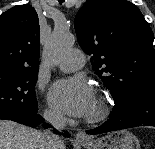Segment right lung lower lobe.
I'll list each match as a JSON object with an SVG mask.
<instances>
[{"label": "right lung lower lobe", "mask_w": 155, "mask_h": 149, "mask_svg": "<svg viewBox=\"0 0 155 149\" xmlns=\"http://www.w3.org/2000/svg\"><path fill=\"white\" fill-rule=\"evenodd\" d=\"M0 119H3V120H12V121H15V122H18V123H22V124H24V125H26V126H37V125H39L41 122L44 121V119H43L40 115H37V113H35V114L32 115L28 120H25V121H16V120H13V119H10V118H7V117H0ZM43 127H44V128H47V127H50V125L44 123V124H43ZM55 133L61 134V133H59V132H57V131H55ZM63 135H64L65 137H69V136H70L68 132L63 133Z\"/></svg>", "instance_id": "1"}]
</instances>
